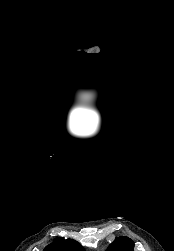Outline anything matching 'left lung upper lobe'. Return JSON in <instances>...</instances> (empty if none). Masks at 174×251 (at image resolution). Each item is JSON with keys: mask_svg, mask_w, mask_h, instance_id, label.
Wrapping results in <instances>:
<instances>
[{"mask_svg": "<svg viewBox=\"0 0 174 251\" xmlns=\"http://www.w3.org/2000/svg\"><path fill=\"white\" fill-rule=\"evenodd\" d=\"M133 248L134 242L130 238L120 236L109 245L107 251H134Z\"/></svg>", "mask_w": 174, "mask_h": 251, "instance_id": "obj_1", "label": "left lung upper lobe"}]
</instances>
